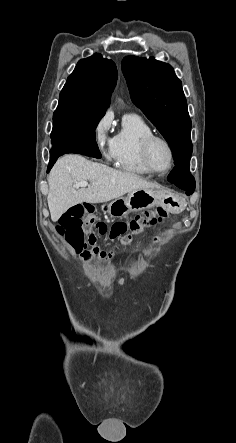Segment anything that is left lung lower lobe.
Instances as JSON below:
<instances>
[{"mask_svg":"<svg viewBox=\"0 0 236 443\" xmlns=\"http://www.w3.org/2000/svg\"><path fill=\"white\" fill-rule=\"evenodd\" d=\"M168 181L191 195L195 190V179L190 173V161L178 164L167 177Z\"/></svg>","mask_w":236,"mask_h":443,"instance_id":"left-lung-lower-lobe-1","label":"left lung lower lobe"}]
</instances>
